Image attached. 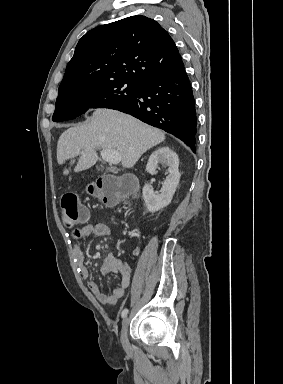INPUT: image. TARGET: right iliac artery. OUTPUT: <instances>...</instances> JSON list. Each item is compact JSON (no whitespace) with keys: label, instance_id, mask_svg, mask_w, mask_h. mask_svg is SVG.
<instances>
[{"label":"right iliac artery","instance_id":"1","mask_svg":"<svg viewBox=\"0 0 283 384\" xmlns=\"http://www.w3.org/2000/svg\"><path fill=\"white\" fill-rule=\"evenodd\" d=\"M127 314H128V309H124V310L122 311V313H121V317H122V318H125V317L127 316Z\"/></svg>","mask_w":283,"mask_h":384}]
</instances>
